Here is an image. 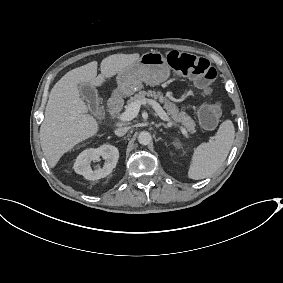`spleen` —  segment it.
<instances>
[{
    "label": "spleen",
    "mask_w": 283,
    "mask_h": 283,
    "mask_svg": "<svg viewBox=\"0 0 283 283\" xmlns=\"http://www.w3.org/2000/svg\"><path fill=\"white\" fill-rule=\"evenodd\" d=\"M234 138L233 122L226 119L220 124L212 142L202 143L194 149L187 176L190 179L199 180L215 173L227 158Z\"/></svg>",
    "instance_id": "spleen-1"
}]
</instances>
